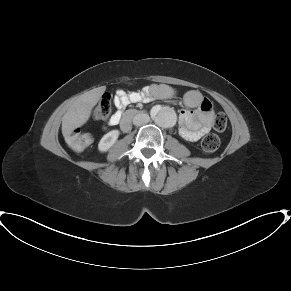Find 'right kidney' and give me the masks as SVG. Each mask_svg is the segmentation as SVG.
Instances as JSON below:
<instances>
[{"instance_id": "ca27d5eb", "label": "right kidney", "mask_w": 291, "mask_h": 291, "mask_svg": "<svg viewBox=\"0 0 291 291\" xmlns=\"http://www.w3.org/2000/svg\"><path fill=\"white\" fill-rule=\"evenodd\" d=\"M119 136L118 130H112L105 134L98 144V149L101 152L108 151L117 141Z\"/></svg>"}]
</instances>
